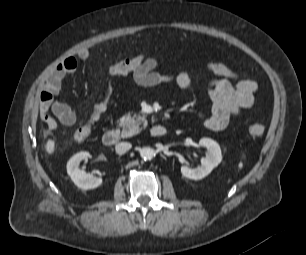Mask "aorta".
Here are the masks:
<instances>
[{
    "mask_svg": "<svg viewBox=\"0 0 306 255\" xmlns=\"http://www.w3.org/2000/svg\"><path fill=\"white\" fill-rule=\"evenodd\" d=\"M140 156L144 160H151L155 156V152L152 148L144 147L140 150Z\"/></svg>",
    "mask_w": 306,
    "mask_h": 255,
    "instance_id": "1",
    "label": "aorta"
}]
</instances>
